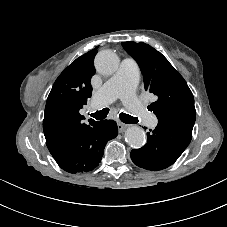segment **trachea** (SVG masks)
I'll return each instance as SVG.
<instances>
[{
  "label": "trachea",
  "instance_id": "3493384b",
  "mask_svg": "<svg viewBox=\"0 0 227 227\" xmlns=\"http://www.w3.org/2000/svg\"><path fill=\"white\" fill-rule=\"evenodd\" d=\"M109 110L107 108H104L100 111H96L95 113L90 114L91 117L102 120L105 119L108 115ZM120 119L127 124H135L138 123V119L136 117H132L130 115L124 114L123 112L119 115Z\"/></svg>",
  "mask_w": 227,
  "mask_h": 227
}]
</instances>
